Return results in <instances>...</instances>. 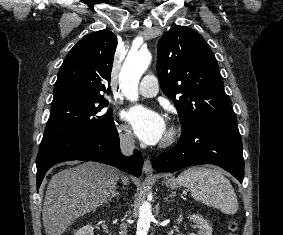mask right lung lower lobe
Masks as SVG:
<instances>
[{
  "label": "right lung lower lobe",
  "instance_id": "right-lung-lower-lobe-1",
  "mask_svg": "<svg viewBox=\"0 0 283 235\" xmlns=\"http://www.w3.org/2000/svg\"><path fill=\"white\" fill-rule=\"evenodd\" d=\"M70 160L96 161L115 166L135 176H140L143 157L140 151L124 157L119 151V136L116 127L94 135H81L67 139L37 155V190L48 169L59 162Z\"/></svg>",
  "mask_w": 283,
  "mask_h": 235
}]
</instances>
